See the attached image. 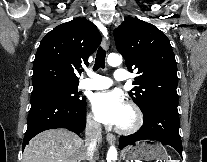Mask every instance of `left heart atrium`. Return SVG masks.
I'll use <instances>...</instances> for the list:
<instances>
[{"label":"left heart atrium","instance_id":"1","mask_svg":"<svg viewBox=\"0 0 207 162\" xmlns=\"http://www.w3.org/2000/svg\"><path fill=\"white\" fill-rule=\"evenodd\" d=\"M91 107L98 121L108 125H118L126 103L118 91H106L92 96Z\"/></svg>","mask_w":207,"mask_h":162}]
</instances>
